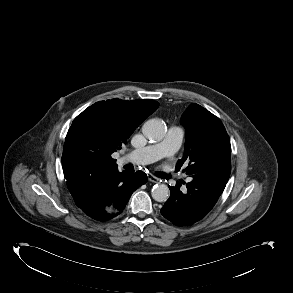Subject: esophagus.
Masks as SVG:
<instances>
[{"mask_svg": "<svg viewBox=\"0 0 293 293\" xmlns=\"http://www.w3.org/2000/svg\"><path fill=\"white\" fill-rule=\"evenodd\" d=\"M148 180L150 181V182H153V183H160L162 180H160L159 178H157V177H155V176H153V175H151V174H149L148 175Z\"/></svg>", "mask_w": 293, "mask_h": 293, "instance_id": "34e87169", "label": "esophagus"}]
</instances>
